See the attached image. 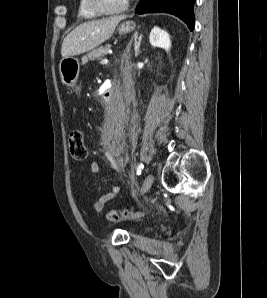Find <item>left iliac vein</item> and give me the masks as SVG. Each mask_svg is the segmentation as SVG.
Returning <instances> with one entry per match:
<instances>
[{
    "label": "left iliac vein",
    "mask_w": 267,
    "mask_h": 298,
    "mask_svg": "<svg viewBox=\"0 0 267 298\" xmlns=\"http://www.w3.org/2000/svg\"><path fill=\"white\" fill-rule=\"evenodd\" d=\"M153 182H154V176L152 174H148L141 186L140 195L145 194L151 188Z\"/></svg>",
    "instance_id": "obj_1"
}]
</instances>
